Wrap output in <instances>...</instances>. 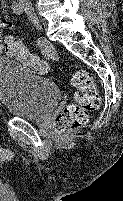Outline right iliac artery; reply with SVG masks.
<instances>
[{
	"label": "right iliac artery",
	"mask_w": 123,
	"mask_h": 201,
	"mask_svg": "<svg viewBox=\"0 0 123 201\" xmlns=\"http://www.w3.org/2000/svg\"><path fill=\"white\" fill-rule=\"evenodd\" d=\"M12 9H13V11H14V13L15 14H18V15H20L22 12H23V6H22V4L20 3V2H18V1H14L13 3H12ZM43 50H46V49H43Z\"/></svg>",
	"instance_id": "82829eb1"
}]
</instances>
